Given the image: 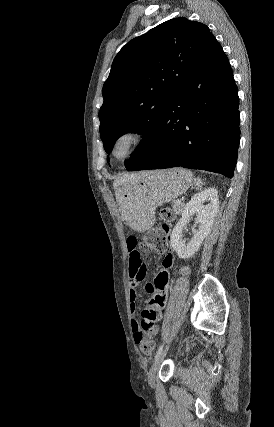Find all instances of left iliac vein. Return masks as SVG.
Masks as SVG:
<instances>
[{
    "instance_id": "obj_1",
    "label": "left iliac vein",
    "mask_w": 274,
    "mask_h": 427,
    "mask_svg": "<svg viewBox=\"0 0 274 427\" xmlns=\"http://www.w3.org/2000/svg\"><path fill=\"white\" fill-rule=\"evenodd\" d=\"M169 346H170V344H168L165 347V349L161 352V354L155 360L154 364L151 366V368L149 370L147 378H148V383L150 384L151 387L154 386L156 373L158 372L162 362L164 361V359L167 355V352L169 350Z\"/></svg>"
}]
</instances>
